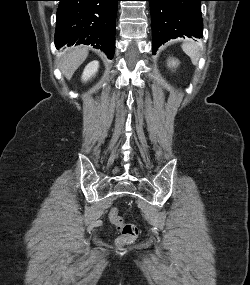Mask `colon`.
<instances>
[{
	"instance_id": "obj_1",
	"label": "colon",
	"mask_w": 250,
	"mask_h": 285,
	"mask_svg": "<svg viewBox=\"0 0 250 285\" xmlns=\"http://www.w3.org/2000/svg\"><path fill=\"white\" fill-rule=\"evenodd\" d=\"M109 218L120 233L119 237L117 238V243L120 246L130 244L138 237V227L133 223H125L117 208L114 207L110 210Z\"/></svg>"
}]
</instances>
